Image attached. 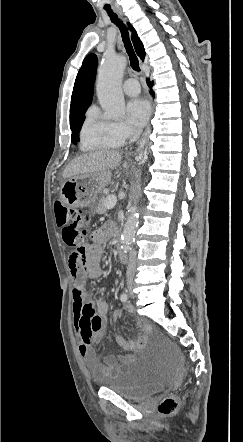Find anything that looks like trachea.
<instances>
[{
    "mask_svg": "<svg viewBox=\"0 0 243 442\" xmlns=\"http://www.w3.org/2000/svg\"><path fill=\"white\" fill-rule=\"evenodd\" d=\"M105 10L108 12L109 16L111 17L112 22H114L119 27V29L121 31L122 39L124 42V47H125L126 52L129 56L132 69L136 72H140L139 59H138V57L135 53V50L132 46V43L129 39V35L126 31L125 26L123 25L122 22H120L118 20L117 16L115 14H113V12L111 11L109 6H105Z\"/></svg>",
    "mask_w": 243,
    "mask_h": 442,
    "instance_id": "obj_1",
    "label": "trachea"
}]
</instances>
